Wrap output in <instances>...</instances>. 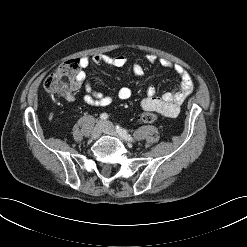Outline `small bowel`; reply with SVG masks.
<instances>
[{
	"label": "small bowel",
	"instance_id": "1",
	"mask_svg": "<svg viewBox=\"0 0 247 247\" xmlns=\"http://www.w3.org/2000/svg\"><path fill=\"white\" fill-rule=\"evenodd\" d=\"M146 59L150 64H159L176 73L180 78V86L175 91L167 92L162 96H159L156 88L149 85L146 90V96L141 101V107L145 111L159 112L170 118H174L179 114L181 104L194 89L192 77L183 66L169 59L158 57L152 53L148 54ZM128 60V57L125 55L110 56L107 54H95L91 57L80 58L79 85L84 89V102L91 105L108 106L113 101L111 95L94 90L90 82L87 80L86 71L91 64L122 67L128 62ZM133 73L137 77H142L144 75L142 65L138 63L134 64ZM130 97L131 90L128 87H122L117 92V98L120 100H127ZM69 100L72 101L73 98L69 97Z\"/></svg>",
	"mask_w": 247,
	"mask_h": 247
}]
</instances>
